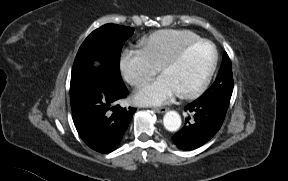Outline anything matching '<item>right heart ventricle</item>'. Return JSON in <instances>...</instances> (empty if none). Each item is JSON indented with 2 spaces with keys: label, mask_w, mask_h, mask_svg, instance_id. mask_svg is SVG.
Returning <instances> with one entry per match:
<instances>
[{
  "label": "right heart ventricle",
  "mask_w": 288,
  "mask_h": 181,
  "mask_svg": "<svg viewBox=\"0 0 288 181\" xmlns=\"http://www.w3.org/2000/svg\"><path fill=\"white\" fill-rule=\"evenodd\" d=\"M198 39H201L200 36L189 30L166 29L154 32L143 39L140 47L149 61L159 68L181 47Z\"/></svg>",
  "instance_id": "1"
}]
</instances>
